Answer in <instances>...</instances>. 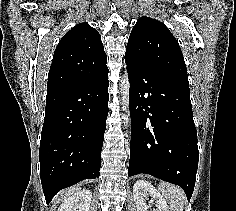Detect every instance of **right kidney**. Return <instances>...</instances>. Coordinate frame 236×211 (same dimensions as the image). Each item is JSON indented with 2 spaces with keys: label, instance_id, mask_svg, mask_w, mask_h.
Wrapping results in <instances>:
<instances>
[{
  "label": "right kidney",
  "instance_id": "1",
  "mask_svg": "<svg viewBox=\"0 0 236 211\" xmlns=\"http://www.w3.org/2000/svg\"><path fill=\"white\" fill-rule=\"evenodd\" d=\"M91 201L92 192L82 190L66 198L58 211H89Z\"/></svg>",
  "mask_w": 236,
  "mask_h": 211
}]
</instances>
